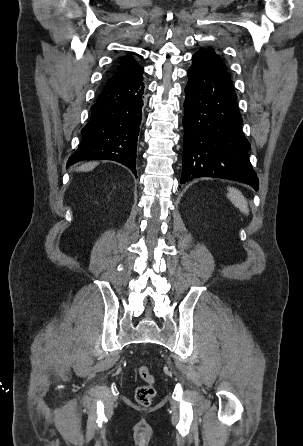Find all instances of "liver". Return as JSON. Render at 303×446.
<instances>
[{"instance_id":"1","label":"liver","mask_w":303,"mask_h":446,"mask_svg":"<svg viewBox=\"0 0 303 446\" xmlns=\"http://www.w3.org/2000/svg\"><path fill=\"white\" fill-rule=\"evenodd\" d=\"M97 165H98L97 162H88V163L82 164L80 167H78V168L76 169V171H83V172L91 171V170H93Z\"/></svg>"}]
</instances>
